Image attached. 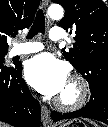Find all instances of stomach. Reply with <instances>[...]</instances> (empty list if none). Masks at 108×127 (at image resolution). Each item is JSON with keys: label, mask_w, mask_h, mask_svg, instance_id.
Returning a JSON list of instances; mask_svg holds the SVG:
<instances>
[{"label": "stomach", "mask_w": 108, "mask_h": 127, "mask_svg": "<svg viewBox=\"0 0 108 127\" xmlns=\"http://www.w3.org/2000/svg\"><path fill=\"white\" fill-rule=\"evenodd\" d=\"M51 127H57V125ZM58 127H88V125L80 119H73L63 124H59Z\"/></svg>", "instance_id": "stomach-1"}]
</instances>
